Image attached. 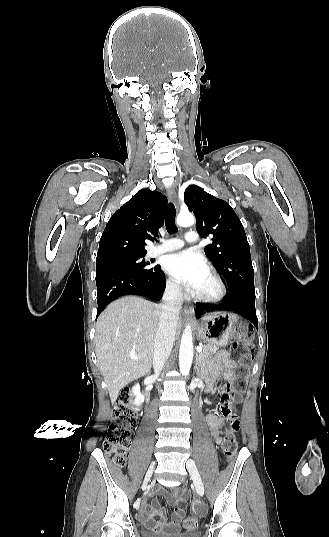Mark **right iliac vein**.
Masks as SVG:
<instances>
[{"label":"right iliac vein","mask_w":329,"mask_h":537,"mask_svg":"<svg viewBox=\"0 0 329 537\" xmlns=\"http://www.w3.org/2000/svg\"><path fill=\"white\" fill-rule=\"evenodd\" d=\"M153 467H154V463L150 466V468H149V470H148V472H147V474H146V477H145V480H144V484H143L144 486L147 485L148 480H149V478H150L151 475H152Z\"/></svg>","instance_id":"63e3f726"}]
</instances>
